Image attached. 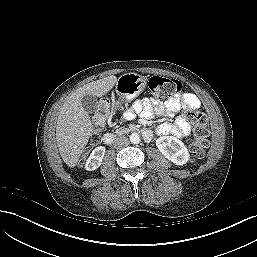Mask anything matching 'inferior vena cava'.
<instances>
[{
    "label": "inferior vena cava",
    "mask_w": 257,
    "mask_h": 257,
    "mask_svg": "<svg viewBox=\"0 0 257 257\" xmlns=\"http://www.w3.org/2000/svg\"><path fill=\"white\" fill-rule=\"evenodd\" d=\"M129 143L128 138L125 136H119L114 141V147L115 148H121L126 146Z\"/></svg>",
    "instance_id": "1"
}]
</instances>
